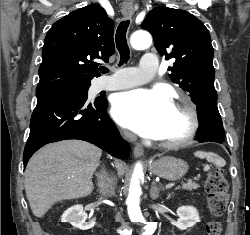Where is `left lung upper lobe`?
<instances>
[{"instance_id":"obj_1","label":"left lung upper lobe","mask_w":250,"mask_h":235,"mask_svg":"<svg viewBox=\"0 0 250 235\" xmlns=\"http://www.w3.org/2000/svg\"><path fill=\"white\" fill-rule=\"evenodd\" d=\"M149 31L157 51L175 59L171 80L188 92L199 106L217 99L214 87L213 47L208 29L185 10L156 7L141 24Z\"/></svg>"}]
</instances>
